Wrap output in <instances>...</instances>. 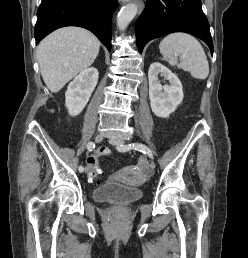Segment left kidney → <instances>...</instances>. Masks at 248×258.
I'll list each match as a JSON object with an SVG mask.
<instances>
[{
	"instance_id": "5707ae66",
	"label": "left kidney",
	"mask_w": 248,
	"mask_h": 258,
	"mask_svg": "<svg viewBox=\"0 0 248 258\" xmlns=\"http://www.w3.org/2000/svg\"><path fill=\"white\" fill-rule=\"evenodd\" d=\"M158 75L169 80L170 85L162 86ZM149 99L153 113L161 118H167L183 100L182 84L176 74L159 62L150 65L148 71Z\"/></svg>"
}]
</instances>
